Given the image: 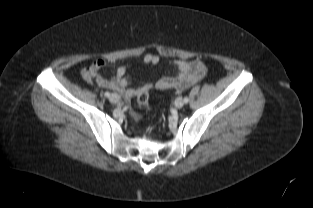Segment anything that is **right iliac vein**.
<instances>
[{"label":"right iliac vein","mask_w":313,"mask_h":208,"mask_svg":"<svg viewBox=\"0 0 313 208\" xmlns=\"http://www.w3.org/2000/svg\"><path fill=\"white\" fill-rule=\"evenodd\" d=\"M110 102L111 103H113V104H116V103H118V101H119V96L117 95V94H112L111 96H110Z\"/></svg>","instance_id":"obj_1"}]
</instances>
